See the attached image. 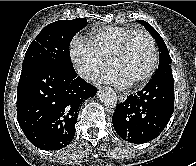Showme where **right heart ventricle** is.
I'll return each mask as SVG.
<instances>
[{
	"mask_svg": "<svg viewBox=\"0 0 196 166\" xmlns=\"http://www.w3.org/2000/svg\"><path fill=\"white\" fill-rule=\"evenodd\" d=\"M132 31L133 29L130 28L107 26L95 31L88 40L101 55L110 61L123 39Z\"/></svg>",
	"mask_w": 196,
	"mask_h": 166,
	"instance_id": "right-heart-ventricle-1",
	"label": "right heart ventricle"
}]
</instances>
